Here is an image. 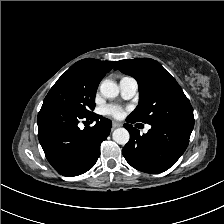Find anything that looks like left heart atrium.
<instances>
[{"label": "left heart atrium", "instance_id": "39dd6f15", "mask_svg": "<svg viewBox=\"0 0 224 224\" xmlns=\"http://www.w3.org/2000/svg\"><path fill=\"white\" fill-rule=\"evenodd\" d=\"M104 112L105 114L116 118V119H120L124 116V110L117 105H108L104 108Z\"/></svg>", "mask_w": 224, "mask_h": 224}]
</instances>
